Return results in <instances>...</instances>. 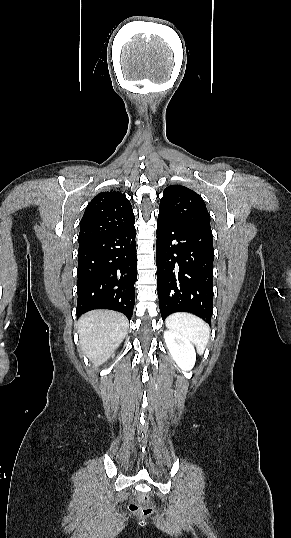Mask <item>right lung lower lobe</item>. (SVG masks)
Masks as SVG:
<instances>
[{"instance_id": "right-lung-lower-lobe-1", "label": "right lung lower lobe", "mask_w": 291, "mask_h": 538, "mask_svg": "<svg viewBox=\"0 0 291 538\" xmlns=\"http://www.w3.org/2000/svg\"><path fill=\"white\" fill-rule=\"evenodd\" d=\"M134 223L79 245L77 316L111 309L132 317L137 280Z\"/></svg>"}]
</instances>
